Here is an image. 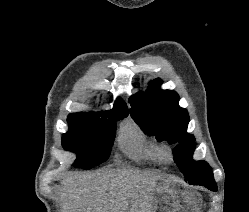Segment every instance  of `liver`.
<instances>
[{
	"label": "liver",
	"instance_id": "liver-1",
	"mask_svg": "<svg viewBox=\"0 0 249 212\" xmlns=\"http://www.w3.org/2000/svg\"><path fill=\"white\" fill-rule=\"evenodd\" d=\"M163 176L141 170H98L63 178V212H151Z\"/></svg>",
	"mask_w": 249,
	"mask_h": 212
}]
</instances>
